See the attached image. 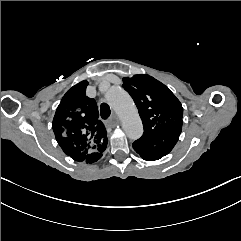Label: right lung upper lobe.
<instances>
[{"instance_id": "1", "label": "right lung upper lobe", "mask_w": 241, "mask_h": 241, "mask_svg": "<svg viewBox=\"0 0 241 241\" xmlns=\"http://www.w3.org/2000/svg\"><path fill=\"white\" fill-rule=\"evenodd\" d=\"M87 85L86 80L82 81L64 95L52 127L66 155L75 161L91 164L102 157L108 138L95 100L85 94Z\"/></svg>"}]
</instances>
